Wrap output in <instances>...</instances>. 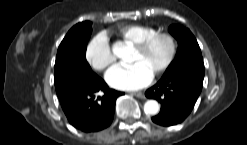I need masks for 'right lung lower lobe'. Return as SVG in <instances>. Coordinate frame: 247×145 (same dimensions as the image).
<instances>
[{
    "mask_svg": "<svg viewBox=\"0 0 247 145\" xmlns=\"http://www.w3.org/2000/svg\"><path fill=\"white\" fill-rule=\"evenodd\" d=\"M55 88L69 123L84 132L108 127L113 120L115 101L124 94L109 89L95 73L70 74L55 81ZM99 91L104 95L96 98Z\"/></svg>",
    "mask_w": 247,
    "mask_h": 145,
    "instance_id": "98d812e1",
    "label": "right lung lower lobe"
}]
</instances>
